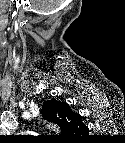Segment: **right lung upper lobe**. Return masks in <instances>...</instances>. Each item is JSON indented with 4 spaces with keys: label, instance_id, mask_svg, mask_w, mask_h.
I'll use <instances>...</instances> for the list:
<instances>
[{
    "label": "right lung upper lobe",
    "instance_id": "1",
    "mask_svg": "<svg viewBox=\"0 0 125 143\" xmlns=\"http://www.w3.org/2000/svg\"><path fill=\"white\" fill-rule=\"evenodd\" d=\"M41 114L46 120L56 123L66 136H78L89 131L81 116L74 113L67 103L48 100L43 103Z\"/></svg>",
    "mask_w": 125,
    "mask_h": 143
}]
</instances>
